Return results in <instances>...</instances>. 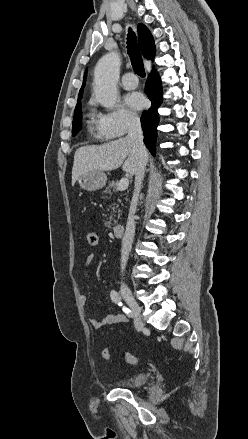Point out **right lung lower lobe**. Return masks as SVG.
I'll return each instance as SVG.
<instances>
[{
  "label": "right lung lower lobe",
  "mask_w": 248,
  "mask_h": 439,
  "mask_svg": "<svg viewBox=\"0 0 248 439\" xmlns=\"http://www.w3.org/2000/svg\"><path fill=\"white\" fill-rule=\"evenodd\" d=\"M145 91L152 105L141 116L144 134V143L152 155L156 152L157 126L159 124L158 108L162 103L161 80L156 72H152L147 79Z\"/></svg>",
  "instance_id": "obj_1"
}]
</instances>
